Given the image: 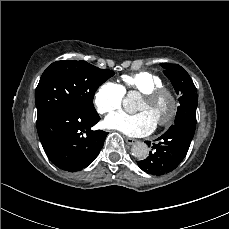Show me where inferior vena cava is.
I'll list each match as a JSON object with an SVG mask.
<instances>
[{
    "label": "inferior vena cava",
    "mask_w": 229,
    "mask_h": 229,
    "mask_svg": "<svg viewBox=\"0 0 229 229\" xmlns=\"http://www.w3.org/2000/svg\"><path fill=\"white\" fill-rule=\"evenodd\" d=\"M138 145H140V144L133 145L132 149H135V150L138 149L139 148Z\"/></svg>",
    "instance_id": "inferior-vena-cava-1"
}]
</instances>
